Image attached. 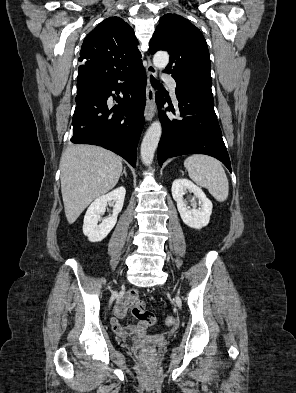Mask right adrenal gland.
<instances>
[{
	"mask_svg": "<svg viewBox=\"0 0 296 393\" xmlns=\"http://www.w3.org/2000/svg\"><path fill=\"white\" fill-rule=\"evenodd\" d=\"M123 174L125 175V177H127V173H126V168H125V167H124V169H123V173L121 174V176H122Z\"/></svg>",
	"mask_w": 296,
	"mask_h": 393,
	"instance_id": "2a0ac1e0",
	"label": "right adrenal gland"
}]
</instances>
